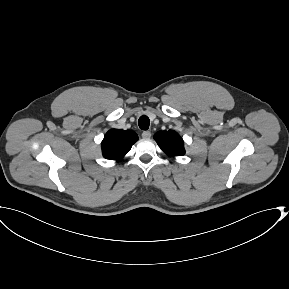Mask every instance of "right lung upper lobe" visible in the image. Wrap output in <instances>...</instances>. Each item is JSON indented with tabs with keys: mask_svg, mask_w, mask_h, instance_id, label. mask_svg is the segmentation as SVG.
<instances>
[{
	"mask_svg": "<svg viewBox=\"0 0 289 289\" xmlns=\"http://www.w3.org/2000/svg\"><path fill=\"white\" fill-rule=\"evenodd\" d=\"M137 140L138 136L133 131L109 130L101 143L104 158L117 161L122 159Z\"/></svg>",
	"mask_w": 289,
	"mask_h": 289,
	"instance_id": "1",
	"label": "right lung upper lobe"
}]
</instances>
